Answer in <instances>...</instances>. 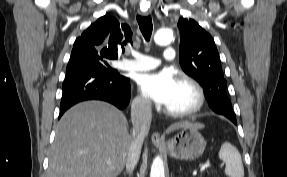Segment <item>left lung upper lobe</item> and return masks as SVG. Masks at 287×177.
<instances>
[{"instance_id": "obj_1", "label": "left lung upper lobe", "mask_w": 287, "mask_h": 177, "mask_svg": "<svg viewBox=\"0 0 287 177\" xmlns=\"http://www.w3.org/2000/svg\"><path fill=\"white\" fill-rule=\"evenodd\" d=\"M178 28L181 33L179 60L183 71L200 83L210 107L217 106L234 116L214 39L193 19L180 18ZM217 99L221 101L219 105L214 104Z\"/></svg>"}]
</instances>
